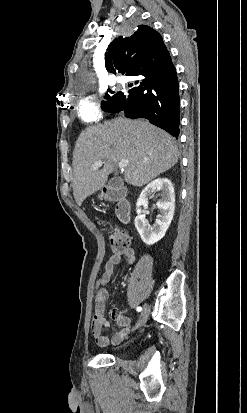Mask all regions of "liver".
Masks as SVG:
<instances>
[{
	"label": "liver",
	"instance_id": "liver-1",
	"mask_svg": "<svg viewBox=\"0 0 247 413\" xmlns=\"http://www.w3.org/2000/svg\"><path fill=\"white\" fill-rule=\"evenodd\" d=\"M178 156L175 138L148 120L116 116L104 124L87 126L73 152L74 198L81 207L86 196L104 186L120 160H128L123 170L126 182L143 186L174 166ZM101 158L103 168L99 170L94 162Z\"/></svg>",
	"mask_w": 247,
	"mask_h": 413
}]
</instances>
